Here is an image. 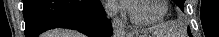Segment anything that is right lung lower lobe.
<instances>
[{
	"instance_id": "right-lung-lower-lobe-1",
	"label": "right lung lower lobe",
	"mask_w": 219,
	"mask_h": 37,
	"mask_svg": "<svg viewBox=\"0 0 219 37\" xmlns=\"http://www.w3.org/2000/svg\"><path fill=\"white\" fill-rule=\"evenodd\" d=\"M25 37L62 27L78 30L89 37H110L111 22L98 0H23Z\"/></svg>"
}]
</instances>
